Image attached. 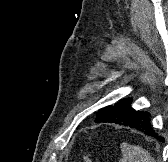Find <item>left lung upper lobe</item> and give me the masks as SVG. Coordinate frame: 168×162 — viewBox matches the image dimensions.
I'll return each mask as SVG.
<instances>
[{"instance_id":"1","label":"left lung upper lobe","mask_w":168,"mask_h":162,"mask_svg":"<svg viewBox=\"0 0 168 162\" xmlns=\"http://www.w3.org/2000/svg\"><path fill=\"white\" fill-rule=\"evenodd\" d=\"M103 111V108L99 110V112L97 113V118L96 119H99L101 117V113Z\"/></svg>"}]
</instances>
